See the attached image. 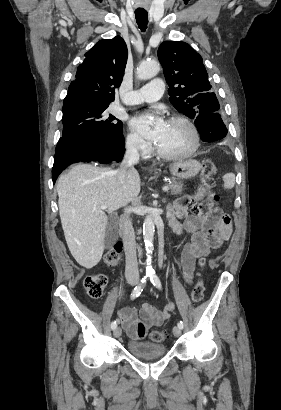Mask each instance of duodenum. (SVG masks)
I'll use <instances>...</instances> for the list:
<instances>
[{"label": "duodenum", "mask_w": 281, "mask_h": 410, "mask_svg": "<svg viewBox=\"0 0 281 410\" xmlns=\"http://www.w3.org/2000/svg\"><path fill=\"white\" fill-rule=\"evenodd\" d=\"M125 220H126V217L124 215L121 216L120 219H119V224H123L125 222Z\"/></svg>", "instance_id": "1"}]
</instances>
